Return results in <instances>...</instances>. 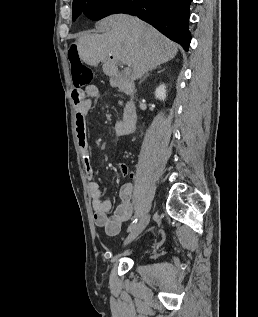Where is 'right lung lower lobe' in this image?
Returning a JSON list of instances; mask_svg holds the SVG:
<instances>
[{
    "label": "right lung lower lobe",
    "instance_id": "98d812e1",
    "mask_svg": "<svg viewBox=\"0 0 258 317\" xmlns=\"http://www.w3.org/2000/svg\"><path fill=\"white\" fill-rule=\"evenodd\" d=\"M192 0H120L115 13L135 15L154 26L186 51L191 41L188 30L189 6ZM86 16L84 10L82 12Z\"/></svg>",
    "mask_w": 258,
    "mask_h": 317
}]
</instances>
